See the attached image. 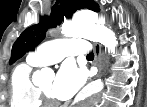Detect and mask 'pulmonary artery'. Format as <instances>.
<instances>
[{
  "label": "pulmonary artery",
  "instance_id": "obj_1",
  "mask_svg": "<svg viewBox=\"0 0 147 107\" xmlns=\"http://www.w3.org/2000/svg\"><path fill=\"white\" fill-rule=\"evenodd\" d=\"M90 44L86 40L76 38H62L40 45L29 57L39 65H51L60 62L65 56L87 54Z\"/></svg>",
  "mask_w": 147,
  "mask_h": 107
}]
</instances>
